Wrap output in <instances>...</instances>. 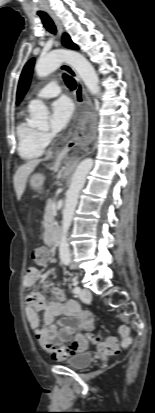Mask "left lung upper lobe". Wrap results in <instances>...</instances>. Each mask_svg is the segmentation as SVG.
Here are the masks:
<instances>
[{"mask_svg": "<svg viewBox=\"0 0 155 413\" xmlns=\"http://www.w3.org/2000/svg\"><path fill=\"white\" fill-rule=\"evenodd\" d=\"M63 45L71 48V49H78L77 45L74 44L68 34H64L62 38ZM34 65V59H31L24 67L22 74L20 76L19 84H18V90H17V101L16 103L18 104L23 96L25 95L29 84L31 80V75H32V69Z\"/></svg>", "mask_w": 155, "mask_h": 413, "instance_id": "left-lung-upper-lobe-1", "label": "left lung upper lobe"}]
</instances>
